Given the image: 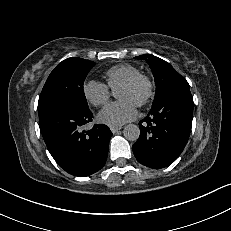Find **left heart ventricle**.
I'll return each mask as SVG.
<instances>
[{
    "instance_id": "b2bd125f",
    "label": "left heart ventricle",
    "mask_w": 231,
    "mask_h": 231,
    "mask_svg": "<svg viewBox=\"0 0 231 231\" xmlns=\"http://www.w3.org/2000/svg\"><path fill=\"white\" fill-rule=\"evenodd\" d=\"M145 85L140 84L133 88L119 87L116 93L118 99H126L137 104L145 94Z\"/></svg>"
}]
</instances>
